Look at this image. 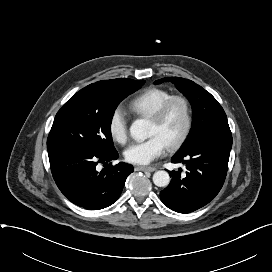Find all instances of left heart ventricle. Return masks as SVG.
I'll use <instances>...</instances> for the list:
<instances>
[{"mask_svg": "<svg viewBox=\"0 0 272 272\" xmlns=\"http://www.w3.org/2000/svg\"><path fill=\"white\" fill-rule=\"evenodd\" d=\"M184 126V111L180 103H174L160 122L149 121L148 135H159L167 145L175 140Z\"/></svg>", "mask_w": 272, "mask_h": 272, "instance_id": "obj_1", "label": "left heart ventricle"}]
</instances>
